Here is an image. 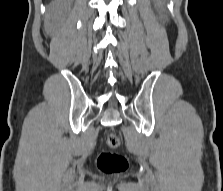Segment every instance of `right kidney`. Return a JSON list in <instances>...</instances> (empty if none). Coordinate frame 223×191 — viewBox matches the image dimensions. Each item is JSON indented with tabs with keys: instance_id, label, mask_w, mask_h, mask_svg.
I'll return each instance as SVG.
<instances>
[{
	"instance_id": "obj_1",
	"label": "right kidney",
	"mask_w": 223,
	"mask_h": 191,
	"mask_svg": "<svg viewBox=\"0 0 223 191\" xmlns=\"http://www.w3.org/2000/svg\"><path fill=\"white\" fill-rule=\"evenodd\" d=\"M64 2V3H63ZM66 1H62V0H56L53 3H51L49 10H48V14H47V18L45 21V30L47 33H51L53 26H54V13L56 10H58Z\"/></svg>"
}]
</instances>
